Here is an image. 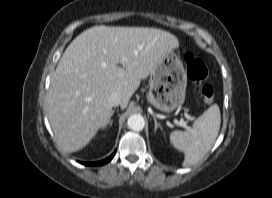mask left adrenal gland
<instances>
[{
    "mask_svg": "<svg viewBox=\"0 0 272 198\" xmlns=\"http://www.w3.org/2000/svg\"><path fill=\"white\" fill-rule=\"evenodd\" d=\"M153 120H154V124H155L154 132L156 133L158 128L162 131V126L157 122L155 116H153Z\"/></svg>",
    "mask_w": 272,
    "mask_h": 198,
    "instance_id": "left-adrenal-gland-1",
    "label": "left adrenal gland"
}]
</instances>
